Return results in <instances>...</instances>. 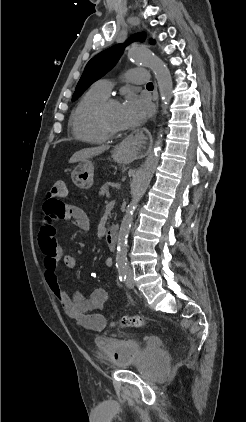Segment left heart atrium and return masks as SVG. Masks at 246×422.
Returning <instances> with one entry per match:
<instances>
[{
	"instance_id": "1",
	"label": "left heart atrium",
	"mask_w": 246,
	"mask_h": 422,
	"mask_svg": "<svg viewBox=\"0 0 246 422\" xmlns=\"http://www.w3.org/2000/svg\"><path fill=\"white\" fill-rule=\"evenodd\" d=\"M149 105L134 94H128L120 105V117L123 128L141 124L149 114Z\"/></svg>"
}]
</instances>
